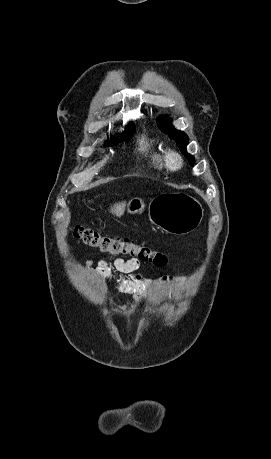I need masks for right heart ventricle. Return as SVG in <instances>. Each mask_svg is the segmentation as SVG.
<instances>
[{"instance_id":"1","label":"right heart ventricle","mask_w":271,"mask_h":459,"mask_svg":"<svg viewBox=\"0 0 271 459\" xmlns=\"http://www.w3.org/2000/svg\"><path fill=\"white\" fill-rule=\"evenodd\" d=\"M139 153L144 166L159 173L165 172L168 167L165 162V150L156 145L149 135H143L139 140Z\"/></svg>"}]
</instances>
